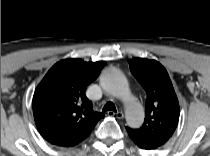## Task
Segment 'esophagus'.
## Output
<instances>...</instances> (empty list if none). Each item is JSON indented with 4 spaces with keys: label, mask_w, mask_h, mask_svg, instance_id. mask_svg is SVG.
I'll use <instances>...</instances> for the list:
<instances>
[{
    "label": "esophagus",
    "mask_w": 210,
    "mask_h": 156,
    "mask_svg": "<svg viewBox=\"0 0 210 156\" xmlns=\"http://www.w3.org/2000/svg\"><path fill=\"white\" fill-rule=\"evenodd\" d=\"M117 114L122 115L123 114V111L121 109H117Z\"/></svg>",
    "instance_id": "1"
}]
</instances>
